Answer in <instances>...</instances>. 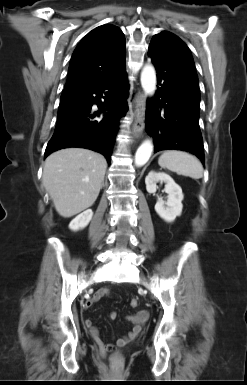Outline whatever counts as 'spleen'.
Returning a JSON list of instances; mask_svg holds the SVG:
<instances>
[{
	"mask_svg": "<svg viewBox=\"0 0 247 385\" xmlns=\"http://www.w3.org/2000/svg\"><path fill=\"white\" fill-rule=\"evenodd\" d=\"M158 164L179 175L189 176L193 179L203 177V166L193 155L177 150L165 151L158 159Z\"/></svg>",
	"mask_w": 247,
	"mask_h": 385,
	"instance_id": "spleen-1",
	"label": "spleen"
}]
</instances>
